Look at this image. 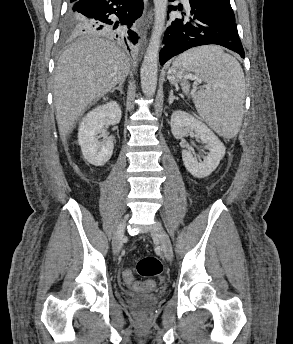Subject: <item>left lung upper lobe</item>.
Here are the masks:
<instances>
[{
	"instance_id": "1",
	"label": "left lung upper lobe",
	"mask_w": 293,
	"mask_h": 344,
	"mask_svg": "<svg viewBox=\"0 0 293 344\" xmlns=\"http://www.w3.org/2000/svg\"><path fill=\"white\" fill-rule=\"evenodd\" d=\"M217 6L222 12L235 20L234 12L230 5V0H208Z\"/></svg>"
}]
</instances>
